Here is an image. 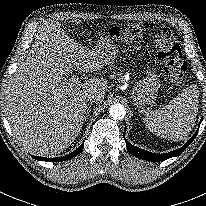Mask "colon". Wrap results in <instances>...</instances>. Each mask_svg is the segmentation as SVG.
I'll list each match as a JSON object with an SVG mask.
<instances>
[{"label":"colon","instance_id":"1","mask_svg":"<svg viewBox=\"0 0 206 206\" xmlns=\"http://www.w3.org/2000/svg\"><path fill=\"white\" fill-rule=\"evenodd\" d=\"M112 34L116 39L128 40L144 34L152 36L157 45L158 59L164 73L175 83H179L186 72V63L182 58L179 45L174 41L171 30L160 23H133L126 29L114 28Z\"/></svg>","mask_w":206,"mask_h":206}]
</instances>
